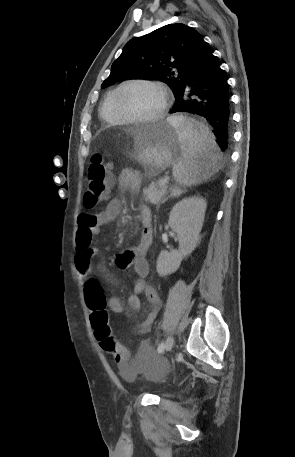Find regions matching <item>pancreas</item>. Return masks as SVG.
Masks as SVG:
<instances>
[{
	"label": "pancreas",
	"instance_id": "1",
	"mask_svg": "<svg viewBox=\"0 0 295 457\" xmlns=\"http://www.w3.org/2000/svg\"><path fill=\"white\" fill-rule=\"evenodd\" d=\"M166 193L167 187L160 186L159 181L152 182L148 188L143 190L145 201L153 204H159L160 202L164 201Z\"/></svg>",
	"mask_w": 295,
	"mask_h": 457
}]
</instances>
